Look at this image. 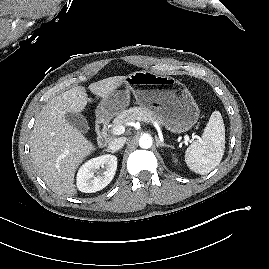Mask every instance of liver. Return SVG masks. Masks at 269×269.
Masks as SVG:
<instances>
[{
  "label": "liver",
  "instance_id": "1",
  "mask_svg": "<svg viewBox=\"0 0 269 269\" xmlns=\"http://www.w3.org/2000/svg\"><path fill=\"white\" fill-rule=\"evenodd\" d=\"M126 76L109 77L89 85L103 98L121 85ZM92 102L83 86H76L49 101L36 118L31 137L34 167L55 193L75 196L76 169L95 150V145L65 119L67 112L79 113Z\"/></svg>",
  "mask_w": 269,
  "mask_h": 269
}]
</instances>
